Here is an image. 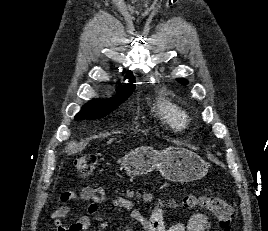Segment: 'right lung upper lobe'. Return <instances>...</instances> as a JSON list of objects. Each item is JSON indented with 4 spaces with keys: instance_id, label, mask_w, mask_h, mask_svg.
<instances>
[{
    "instance_id": "1",
    "label": "right lung upper lobe",
    "mask_w": 268,
    "mask_h": 231,
    "mask_svg": "<svg viewBox=\"0 0 268 231\" xmlns=\"http://www.w3.org/2000/svg\"><path fill=\"white\" fill-rule=\"evenodd\" d=\"M126 78H128L130 81V83L121 86L117 89V95L115 98L110 99L109 101H97V100H93L92 103H104V104H109V105H116V104H120L122 102H124L134 91L135 89V77L132 74L131 71L127 72ZM88 104V103H87Z\"/></svg>"
}]
</instances>
